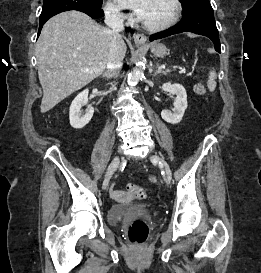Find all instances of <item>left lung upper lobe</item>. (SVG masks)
Here are the masks:
<instances>
[{"instance_id": "5c2ea615", "label": "left lung upper lobe", "mask_w": 261, "mask_h": 273, "mask_svg": "<svg viewBox=\"0 0 261 273\" xmlns=\"http://www.w3.org/2000/svg\"><path fill=\"white\" fill-rule=\"evenodd\" d=\"M197 1H200V0H180L183 8H186Z\"/></svg>"}]
</instances>
